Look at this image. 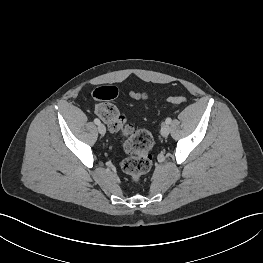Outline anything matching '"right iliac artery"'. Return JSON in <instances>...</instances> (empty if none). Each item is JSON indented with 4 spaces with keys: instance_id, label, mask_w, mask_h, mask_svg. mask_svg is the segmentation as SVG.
Returning <instances> with one entry per match:
<instances>
[{
    "instance_id": "82829eb1",
    "label": "right iliac artery",
    "mask_w": 263,
    "mask_h": 263,
    "mask_svg": "<svg viewBox=\"0 0 263 263\" xmlns=\"http://www.w3.org/2000/svg\"><path fill=\"white\" fill-rule=\"evenodd\" d=\"M94 123L98 125V124H100V120L97 119V118H95V119H94Z\"/></svg>"
}]
</instances>
